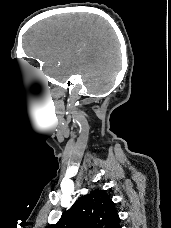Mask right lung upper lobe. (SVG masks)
<instances>
[{
	"label": "right lung upper lobe",
	"mask_w": 171,
	"mask_h": 228,
	"mask_svg": "<svg viewBox=\"0 0 171 228\" xmlns=\"http://www.w3.org/2000/svg\"><path fill=\"white\" fill-rule=\"evenodd\" d=\"M47 228H120L113 201L104 190L81 197L63 213L56 224Z\"/></svg>",
	"instance_id": "obj_1"
}]
</instances>
